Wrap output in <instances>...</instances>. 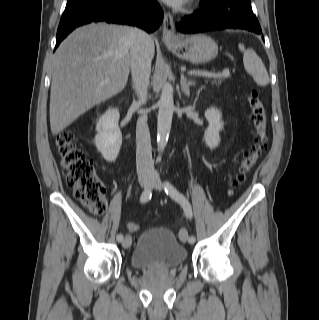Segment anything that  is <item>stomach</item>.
<instances>
[{
  "instance_id": "0dacf381",
  "label": "stomach",
  "mask_w": 319,
  "mask_h": 320,
  "mask_svg": "<svg viewBox=\"0 0 319 320\" xmlns=\"http://www.w3.org/2000/svg\"><path fill=\"white\" fill-rule=\"evenodd\" d=\"M168 47L181 59L193 64H204L213 60L218 54L216 42L205 34L180 37Z\"/></svg>"
}]
</instances>
